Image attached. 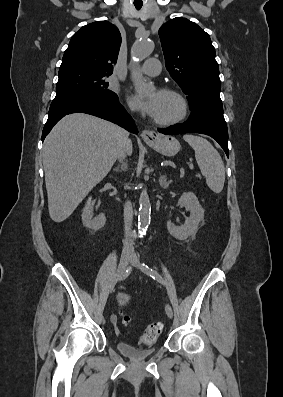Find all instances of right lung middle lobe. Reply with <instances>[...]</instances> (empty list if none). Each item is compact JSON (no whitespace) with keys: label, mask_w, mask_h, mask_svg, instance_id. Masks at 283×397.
<instances>
[{"label":"right lung middle lobe","mask_w":283,"mask_h":397,"mask_svg":"<svg viewBox=\"0 0 283 397\" xmlns=\"http://www.w3.org/2000/svg\"><path fill=\"white\" fill-rule=\"evenodd\" d=\"M107 76L67 74L59 77L56 85V97L69 95H85L108 102H117L116 93L108 89Z\"/></svg>","instance_id":"obj_1"}]
</instances>
